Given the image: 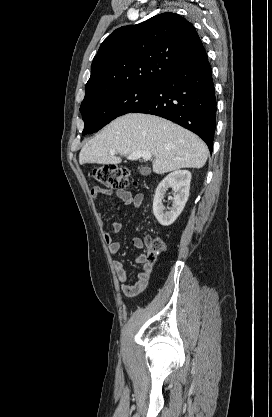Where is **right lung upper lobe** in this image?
Here are the masks:
<instances>
[{
	"instance_id": "cb5924a9",
	"label": "right lung upper lobe",
	"mask_w": 272,
	"mask_h": 417,
	"mask_svg": "<svg viewBox=\"0 0 272 417\" xmlns=\"http://www.w3.org/2000/svg\"><path fill=\"white\" fill-rule=\"evenodd\" d=\"M203 50L193 25L175 13L118 28L93 59L83 101L129 87L158 84Z\"/></svg>"
}]
</instances>
